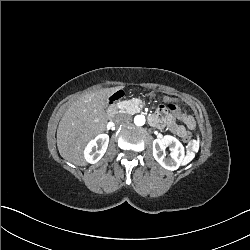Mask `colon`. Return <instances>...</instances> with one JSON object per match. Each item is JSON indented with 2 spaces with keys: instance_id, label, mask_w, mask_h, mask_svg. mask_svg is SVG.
<instances>
[{
  "instance_id": "1",
  "label": "colon",
  "mask_w": 250,
  "mask_h": 250,
  "mask_svg": "<svg viewBox=\"0 0 250 250\" xmlns=\"http://www.w3.org/2000/svg\"><path fill=\"white\" fill-rule=\"evenodd\" d=\"M124 95V92L122 90H118L114 95H112L111 99L115 100ZM166 108L169 112L178 114L179 113V106L174 103H169L166 105ZM182 120L187 124L188 127L193 128L195 123L192 118L190 117H183ZM193 138V135L189 131H183L182 132V141L185 144H188L191 139Z\"/></svg>"
}]
</instances>
